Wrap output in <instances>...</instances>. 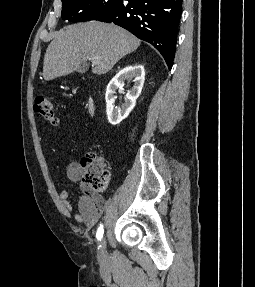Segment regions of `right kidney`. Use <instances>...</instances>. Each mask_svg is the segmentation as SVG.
I'll return each mask as SVG.
<instances>
[{"instance_id":"ca27d5eb","label":"right kidney","mask_w":255,"mask_h":287,"mask_svg":"<svg viewBox=\"0 0 255 287\" xmlns=\"http://www.w3.org/2000/svg\"><path fill=\"white\" fill-rule=\"evenodd\" d=\"M144 76V66L136 64V66H126V68H123L121 72H118L115 78L109 82L106 90L105 100L107 118L112 126H117V124H120L122 120H125V118L129 116L131 110H133L135 102L138 96H140V92L143 88ZM132 78H134V86L131 88V90H128L125 104H123L121 108H115L114 104L116 98L114 94H116V90L124 86V80H132Z\"/></svg>"}]
</instances>
